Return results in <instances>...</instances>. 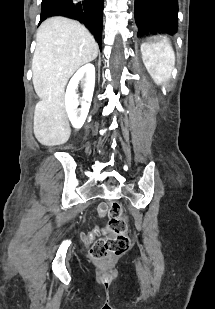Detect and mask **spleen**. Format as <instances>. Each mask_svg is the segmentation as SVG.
I'll return each mask as SVG.
<instances>
[{
    "label": "spleen",
    "mask_w": 215,
    "mask_h": 309,
    "mask_svg": "<svg viewBox=\"0 0 215 309\" xmlns=\"http://www.w3.org/2000/svg\"><path fill=\"white\" fill-rule=\"evenodd\" d=\"M142 60L153 80L160 84L171 76L175 64V52L170 42H144L141 46Z\"/></svg>",
    "instance_id": "3e777b00"
}]
</instances>
